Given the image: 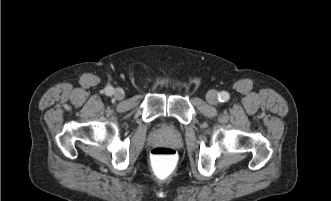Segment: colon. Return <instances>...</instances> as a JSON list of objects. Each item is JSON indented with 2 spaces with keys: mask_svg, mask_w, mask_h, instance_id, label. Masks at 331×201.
<instances>
[{
  "mask_svg": "<svg viewBox=\"0 0 331 201\" xmlns=\"http://www.w3.org/2000/svg\"><path fill=\"white\" fill-rule=\"evenodd\" d=\"M179 156L174 148L157 146L151 150L150 165L158 179L171 177L177 170Z\"/></svg>",
  "mask_w": 331,
  "mask_h": 201,
  "instance_id": "obj_1",
  "label": "colon"
}]
</instances>
